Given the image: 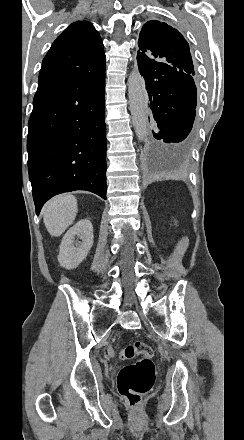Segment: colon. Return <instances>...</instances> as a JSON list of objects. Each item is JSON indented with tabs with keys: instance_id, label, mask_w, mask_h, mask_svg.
Masks as SVG:
<instances>
[{
	"instance_id": "1",
	"label": "colon",
	"mask_w": 244,
	"mask_h": 440,
	"mask_svg": "<svg viewBox=\"0 0 244 440\" xmlns=\"http://www.w3.org/2000/svg\"><path fill=\"white\" fill-rule=\"evenodd\" d=\"M119 358L137 360L125 366L118 375L119 393L127 400L130 409L135 410L141 397L151 390L155 382L153 351L143 341H135L120 350Z\"/></svg>"
}]
</instances>
